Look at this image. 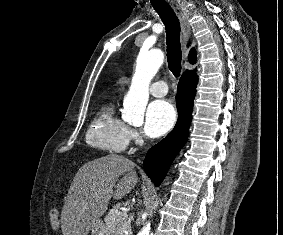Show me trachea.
Instances as JSON below:
<instances>
[{
    "instance_id": "3493384b",
    "label": "trachea",
    "mask_w": 283,
    "mask_h": 235,
    "mask_svg": "<svg viewBox=\"0 0 283 235\" xmlns=\"http://www.w3.org/2000/svg\"><path fill=\"white\" fill-rule=\"evenodd\" d=\"M166 28L167 62L175 77L181 72L180 22L173 9L166 2L152 3Z\"/></svg>"
}]
</instances>
